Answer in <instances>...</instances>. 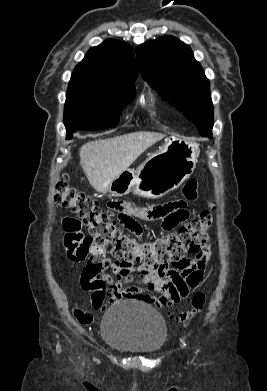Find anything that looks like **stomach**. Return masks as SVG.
I'll list each match as a JSON object with an SVG mask.
<instances>
[{"mask_svg":"<svg viewBox=\"0 0 267 391\" xmlns=\"http://www.w3.org/2000/svg\"><path fill=\"white\" fill-rule=\"evenodd\" d=\"M199 146L181 138L170 137L159 149L137 167L126 169L109 185L113 196L130 192L138 196L158 198L179 188L193 173Z\"/></svg>","mask_w":267,"mask_h":391,"instance_id":"1","label":"stomach"}]
</instances>
